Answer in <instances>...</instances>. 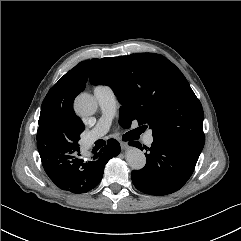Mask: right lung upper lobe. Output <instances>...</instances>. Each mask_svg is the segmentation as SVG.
I'll return each mask as SVG.
<instances>
[{
    "instance_id": "obj_1",
    "label": "right lung upper lobe",
    "mask_w": 241,
    "mask_h": 241,
    "mask_svg": "<svg viewBox=\"0 0 241 241\" xmlns=\"http://www.w3.org/2000/svg\"><path fill=\"white\" fill-rule=\"evenodd\" d=\"M98 59L80 62L47 93L39 117L37 143L69 142L79 137L85 126L73 110L74 98L84 90Z\"/></svg>"
}]
</instances>
